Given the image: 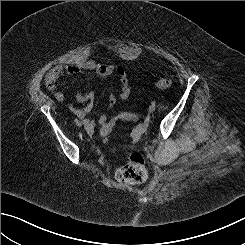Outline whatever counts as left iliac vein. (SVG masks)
Returning a JSON list of instances; mask_svg holds the SVG:
<instances>
[{"label": "left iliac vein", "mask_w": 245, "mask_h": 245, "mask_svg": "<svg viewBox=\"0 0 245 245\" xmlns=\"http://www.w3.org/2000/svg\"><path fill=\"white\" fill-rule=\"evenodd\" d=\"M155 110H156L155 105L149 106V111H150V112H154Z\"/></svg>", "instance_id": "1"}]
</instances>
